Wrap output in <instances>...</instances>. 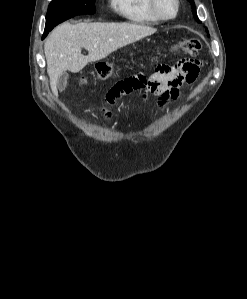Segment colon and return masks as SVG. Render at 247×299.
<instances>
[{"instance_id": "obj_1", "label": "colon", "mask_w": 247, "mask_h": 299, "mask_svg": "<svg viewBox=\"0 0 247 299\" xmlns=\"http://www.w3.org/2000/svg\"><path fill=\"white\" fill-rule=\"evenodd\" d=\"M201 41L198 38H188L179 43V48L186 54L195 56L201 50ZM114 68L112 64L102 62L97 65L94 77L98 80H106L113 74ZM87 82V80H83Z\"/></svg>"}]
</instances>
